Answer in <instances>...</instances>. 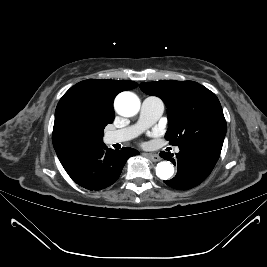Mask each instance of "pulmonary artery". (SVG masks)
<instances>
[{
	"label": "pulmonary artery",
	"mask_w": 267,
	"mask_h": 267,
	"mask_svg": "<svg viewBox=\"0 0 267 267\" xmlns=\"http://www.w3.org/2000/svg\"><path fill=\"white\" fill-rule=\"evenodd\" d=\"M163 112L164 103L160 98L155 96L145 98L141 105L138 122L132 126L109 132L106 135L107 143H121L134 138L155 123L161 117ZM175 151L179 152V148H176Z\"/></svg>",
	"instance_id": "1"
}]
</instances>
